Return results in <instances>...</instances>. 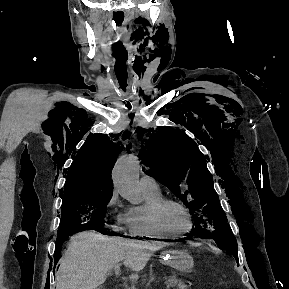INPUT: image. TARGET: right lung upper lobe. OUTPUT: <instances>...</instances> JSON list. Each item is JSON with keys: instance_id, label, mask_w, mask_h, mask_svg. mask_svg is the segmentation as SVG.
<instances>
[{"instance_id": "1", "label": "right lung upper lobe", "mask_w": 289, "mask_h": 289, "mask_svg": "<svg viewBox=\"0 0 289 289\" xmlns=\"http://www.w3.org/2000/svg\"><path fill=\"white\" fill-rule=\"evenodd\" d=\"M122 149L105 135L88 138L68 171L61 197L112 193L111 171Z\"/></svg>"}]
</instances>
